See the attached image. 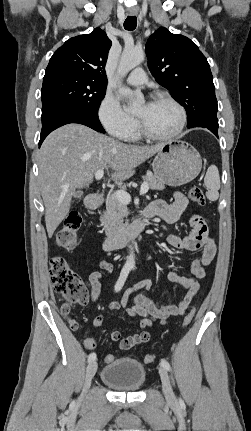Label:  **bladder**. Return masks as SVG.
Wrapping results in <instances>:
<instances>
[{
  "label": "bladder",
  "instance_id": "bladder-1",
  "mask_svg": "<svg viewBox=\"0 0 251 431\" xmlns=\"http://www.w3.org/2000/svg\"><path fill=\"white\" fill-rule=\"evenodd\" d=\"M101 381L107 386L125 392L139 390L146 379V371L137 360L120 358L107 364L101 371Z\"/></svg>",
  "mask_w": 251,
  "mask_h": 431
}]
</instances>
